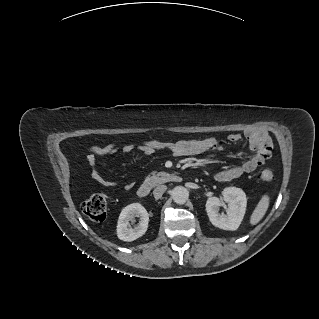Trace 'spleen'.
Masks as SVG:
<instances>
[{
    "label": "spleen",
    "instance_id": "obj_1",
    "mask_svg": "<svg viewBox=\"0 0 319 319\" xmlns=\"http://www.w3.org/2000/svg\"><path fill=\"white\" fill-rule=\"evenodd\" d=\"M270 198L267 194L263 195L256 208L251 214L250 224L256 225L264 217L269 208Z\"/></svg>",
    "mask_w": 319,
    "mask_h": 319
}]
</instances>
